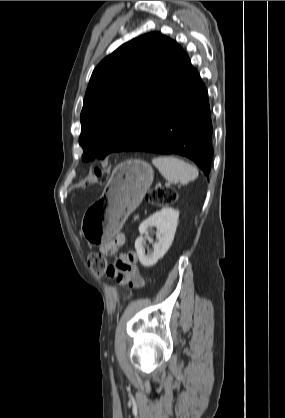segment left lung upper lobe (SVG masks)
<instances>
[{"instance_id":"1","label":"left lung upper lobe","mask_w":285,"mask_h":418,"mask_svg":"<svg viewBox=\"0 0 285 418\" xmlns=\"http://www.w3.org/2000/svg\"><path fill=\"white\" fill-rule=\"evenodd\" d=\"M184 56L159 32L137 37L94 69L81 112L83 160L124 151L166 90Z\"/></svg>"}]
</instances>
